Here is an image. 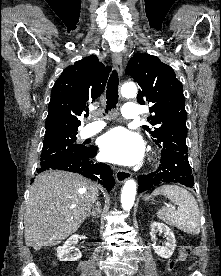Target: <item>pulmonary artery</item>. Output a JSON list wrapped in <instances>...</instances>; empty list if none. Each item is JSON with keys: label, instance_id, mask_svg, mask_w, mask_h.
<instances>
[{"label": "pulmonary artery", "instance_id": "pulmonary-artery-1", "mask_svg": "<svg viewBox=\"0 0 221 276\" xmlns=\"http://www.w3.org/2000/svg\"><path fill=\"white\" fill-rule=\"evenodd\" d=\"M122 114L127 119H136L139 116L138 106L133 103H126L123 106ZM105 124L101 121H97L87 125L83 131V137H90L104 128Z\"/></svg>", "mask_w": 221, "mask_h": 276}]
</instances>
